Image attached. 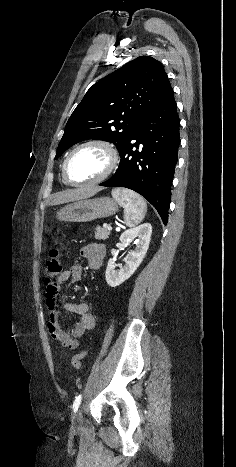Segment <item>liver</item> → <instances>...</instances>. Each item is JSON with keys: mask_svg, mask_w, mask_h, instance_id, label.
I'll list each match as a JSON object with an SVG mask.
<instances>
[{"mask_svg": "<svg viewBox=\"0 0 236 467\" xmlns=\"http://www.w3.org/2000/svg\"><path fill=\"white\" fill-rule=\"evenodd\" d=\"M100 190L101 188L99 187L83 186L77 189L60 192L54 196L53 200L50 202L49 205L55 206L67 202L82 200L95 195Z\"/></svg>", "mask_w": 236, "mask_h": 467, "instance_id": "obj_1", "label": "liver"}]
</instances>
